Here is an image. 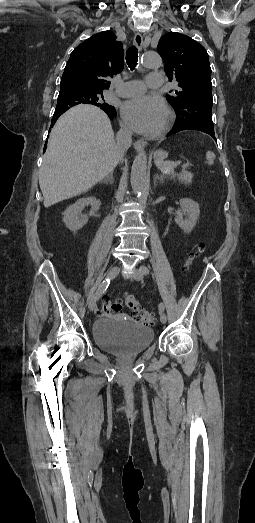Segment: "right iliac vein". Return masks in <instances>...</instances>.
Segmentation results:
<instances>
[{
  "mask_svg": "<svg viewBox=\"0 0 255 523\" xmlns=\"http://www.w3.org/2000/svg\"><path fill=\"white\" fill-rule=\"evenodd\" d=\"M119 270H120V267L119 266H114L113 268H111V270L109 271L108 275H107V278L109 279H113L117 276V274L119 273ZM96 302H97V297L96 295H94L90 301H89V309L92 311L96 308Z\"/></svg>",
  "mask_w": 255,
  "mask_h": 523,
  "instance_id": "obj_1",
  "label": "right iliac vein"
}]
</instances>
